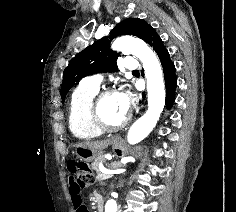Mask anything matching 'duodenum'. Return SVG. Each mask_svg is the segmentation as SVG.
Returning <instances> with one entry per match:
<instances>
[{
    "label": "duodenum",
    "instance_id": "obj_1",
    "mask_svg": "<svg viewBox=\"0 0 236 212\" xmlns=\"http://www.w3.org/2000/svg\"><path fill=\"white\" fill-rule=\"evenodd\" d=\"M95 204L97 207V212H103L104 209V198L101 194L95 195Z\"/></svg>",
    "mask_w": 236,
    "mask_h": 212
}]
</instances>
